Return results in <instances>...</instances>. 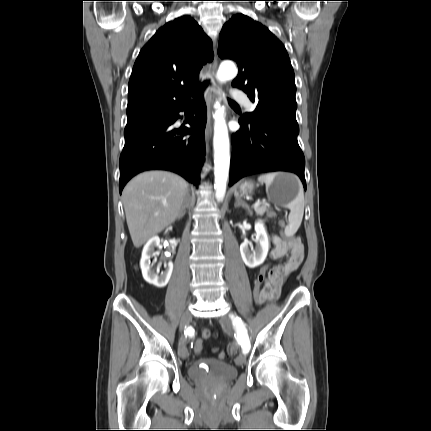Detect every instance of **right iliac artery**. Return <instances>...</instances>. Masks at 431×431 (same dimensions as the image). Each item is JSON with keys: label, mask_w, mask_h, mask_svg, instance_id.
I'll return each mask as SVG.
<instances>
[{"label": "right iliac artery", "mask_w": 431, "mask_h": 431, "mask_svg": "<svg viewBox=\"0 0 431 431\" xmlns=\"http://www.w3.org/2000/svg\"><path fill=\"white\" fill-rule=\"evenodd\" d=\"M191 332H192V330L190 328H188V329H186V331L184 333L187 335V334H189Z\"/></svg>", "instance_id": "82829eb1"}]
</instances>
